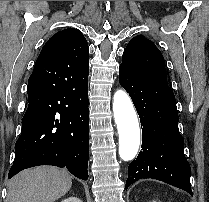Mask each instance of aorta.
Returning <instances> with one entry per match:
<instances>
[{
  "label": "aorta",
  "mask_w": 209,
  "mask_h": 202,
  "mask_svg": "<svg viewBox=\"0 0 209 202\" xmlns=\"http://www.w3.org/2000/svg\"><path fill=\"white\" fill-rule=\"evenodd\" d=\"M114 119L119 134V155L130 161L140 145V129L133 103L124 90H117L113 97Z\"/></svg>",
  "instance_id": "aorta-1"
}]
</instances>
